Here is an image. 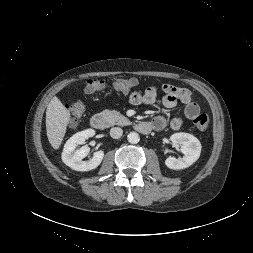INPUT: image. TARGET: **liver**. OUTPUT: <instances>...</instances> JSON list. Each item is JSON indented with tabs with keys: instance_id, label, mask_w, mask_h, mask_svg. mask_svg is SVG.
<instances>
[{
	"instance_id": "obj_1",
	"label": "liver",
	"mask_w": 253,
	"mask_h": 253,
	"mask_svg": "<svg viewBox=\"0 0 253 253\" xmlns=\"http://www.w3.org/2000/svg\"><path fill=\"white\" fill-rule=\"evenodd\" d=\"M70 119V111L54 96L46 110V131L49 143L55 150L59 149L63 141Z\"/></svg>"
}]
</instances>
